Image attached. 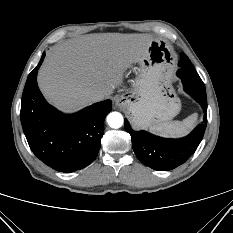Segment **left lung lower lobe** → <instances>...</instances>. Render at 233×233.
Returning <instances> with one entry per match:
<instances>
[{"label":"left lung lower lobe","mask_w":233,"mask_h":233,"mask_svg":"<svg viewBox=\"0 0 233 233\" xmlns=\"http://www.w3.org/2000/svg\"><path fill=\"white\" fill-rule=\"evenodd\" d=\"M190 63L189 58L182 53L177 75L182 79L185 91L194 97L206 112L205 86L194 83L196 75L192 71ZM206 124L207 114L204 116V123L188 136L181 139H164L145 131L132 130L125 119V129L131 135L132 147L137 158L148 167L160 171L172 170L187 161L200 144Z\"/></svg>","instance_id":"1"}]
</instances>
